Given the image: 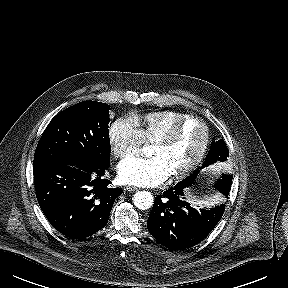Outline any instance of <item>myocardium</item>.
Listing matches in <instances>:
<instances>
[{"mask_svg":"<svg viewBox=\"0 0 288 288\" xmlns=\"http://www.w3.org/2000/svg\"><path fill=\"white\" fill-rule=\"evenodd\" d=\"M190 121H195V122H198L199 124L202 125L203 130H204V141H203L202 147H201L197 157L186 168H184L181 172L174 173L171 175V179L174 181H180V180H183L186 177H188L190 174L193 173V171H195L197 169V167L204 160L205 155L208 151V148L210 145V139H211L209 126L200 117L194 116V115H189V116L177 121L173 125H171L164 133H162L159 137H157L154 140V144H163V145L170 144L173 141V139L175 138V136L177 135V133L180 131V129Z\"/></svg>","mask_w":288,"mask_h":288,"instance_id":"f54148a6","label":"myocardium"}]
</instances>
